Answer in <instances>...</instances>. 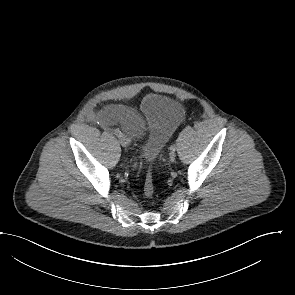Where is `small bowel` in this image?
<instances>
[{"mask_svg":"<svg viewBox=\"0 0 295 295\" xmlns=\"http://www.w3.org/2000/svg\"><path fill=\"white\" fill-rule=\"evenodd\" d=\"M93 119L104 127L120 124L131 136H140L145 129L144 118L135 110L113 105L92 114Z\"/></svg>","mask_w":295,"mask_h":295,"instance_id":"obj_1","label":"small bowel"}]
</instances>
